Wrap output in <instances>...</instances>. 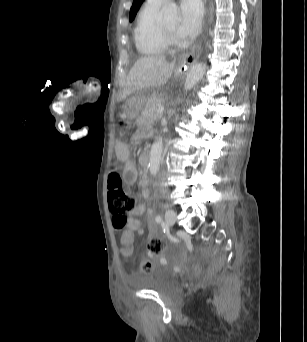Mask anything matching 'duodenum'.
I'll use <instances>...</instances> for the list:
<instances>
[{
	"label": "duodenum",
	"mask_w": 307,
	"mask_h": 342,
	"mask_svg": "<svg viewBox=\"0 0 307 342\" xmlns=\"http://www.w3.org/2000/svg\"><path fill=\"white\" fill-rule=\"evenodd\" d=\"M150 162V156L148 154H142L140 157V163L142 166H147Z\"/></svg>",
	"instance_id": "duodenum-1"
}]
</instances>
